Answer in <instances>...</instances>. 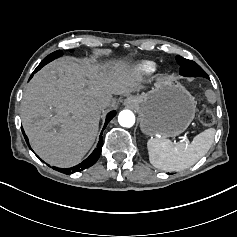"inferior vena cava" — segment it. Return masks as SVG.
Masks as SVG:
<instances>
[{
    "mask_svg": "<svg viewBox=\"0 0 237 237\" xmlns=\"http://www.w3.org/2000/svg\"><path fill=\"white\" fill-rule=\"evenodd\" d=\"M111 102H112V97H105V98H102L99 103H100V106L102 108H106L108 106L111 105Z\"/></svg>",
    "mask_w": 237,
    "mask_h": 237,
    "instance_id": "inferior-vena-cava-1",
    "label": "inferior vena cava"
}]
</instances>
